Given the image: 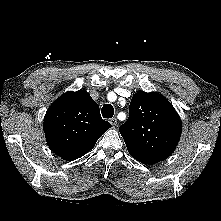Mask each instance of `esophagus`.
I'll return each instance as SVG.
<instances>
[{"label":"esophagus","instance_id":"1","mask_svg":"<svg viewBox=\"0 0 221 221\" xmlns=\"http://www.w3.org/2000/svg\"><path fill=\"white\" fill-rule=\"evenodd\" d=\"M110 123H111L112 126H116L117 125V119L116 118H111Z\"/></svg>","mask_w":221,"mask_h":221}]
</instances>
